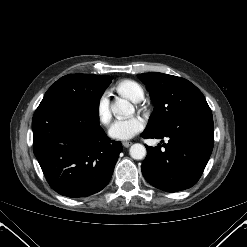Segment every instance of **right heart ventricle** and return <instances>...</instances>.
<instances>
[{
    "label": "right heart ventricle",
    "instance_id": "obj_1",
    "mask_svg": "<svg viewBox=\"0 0 247 247\" xmlns=\"http://www.w3.org/2000/svg\"><path fill=\"white\" fill-rule=\"evenodd\" d=\"M115 90L133 102H139L144 96L143 88L134 80L125 79L115 85Z\"/></svg>",
    "mask_w": 247,
    "mask_h": 247
}]
</instances>
